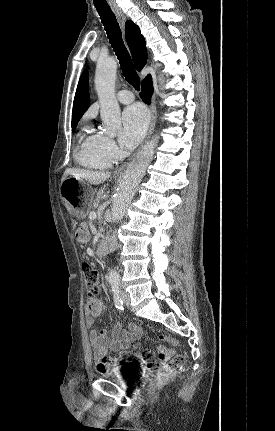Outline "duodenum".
I'll use <instances>...</instances> for the list:
<instances>
[{"mask_svg": "<svg viewBox=\"0 0 275 431\" xmlns=\"http://www.w3.org/2000/svg\"><path fill=\"white\" fill-rule=\"evenodd\" d=\"M115 248H116L115 241L109 237H104L99 241L96 253L99 257H102L105 254L113 251Z\"/></svg>", "mask_w": 275, "mask_h": 431, "instance_id": "1", "label": "duodenum"}]
</instances>
